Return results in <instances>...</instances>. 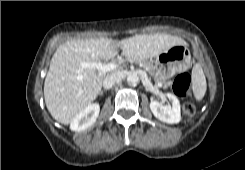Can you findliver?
Listing matches in <instances>:
<instances>
[{"label": "liver", "instance_id": "liver-1", "mask_svg": "<svg viewBox=\"0 0 245 170\" xmlns=\"http://www.w3.org/2000/svg\"><path fill=\"white\" fill-rule=\"evenodd\" d=\"M175 45H186L178 36L165 33L140 34L121 41L77 39L61 44L54 53L44 82V99L51 116L68 125L86 106L99 95L106 76L121 72H97L82 68V62H100L113 59L118 48L128 60L147 59L157 56ZM125 60L114 63L117 66Z\"/></svg>", "mask_w": 245, "mask_h": 170}]
</instances>
